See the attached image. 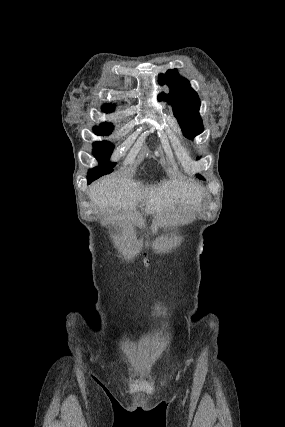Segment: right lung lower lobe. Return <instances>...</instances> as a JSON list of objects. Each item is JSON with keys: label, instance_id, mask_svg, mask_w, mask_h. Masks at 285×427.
<instances>
[{"label": "right lung lower lobe", "instance_id": "98d812e1", "mask_svg": "<svg viewBox=\"0 0 285 427\" xmlns=\"http://www.w3.org/2000/svg\"><path fill=\"white\" fill-rule=\"evenodd\" d=\"M97 178H99V175H96V176H88V177H87V182H88V184H90L92 181L96 180Z\"/></svg>", "mask_w": 285, "mask_h": 427}]
</instances>
